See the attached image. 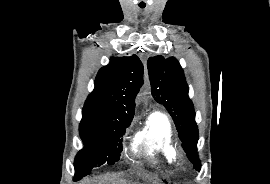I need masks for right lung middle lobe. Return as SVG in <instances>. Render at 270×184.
I'll list each match as a JSON object with an SVG mask.
<instances>
[{
	"mask_svg": "<svg viewBox=\"0 0 270 184\" xmlns=\"http://www.w3.org/2000/svg\"><path fill=\"white\" fill-rule=\"evenodd\" d=\"M130 123L96 118L87 109H83L79 132L84 147L75 158V180L106 161L112 165L119 160L122 137Z\"/></svg>",
	"mask_w": 270,
	"mask_h": 184,
	"instance_id": "right-lung-middle-lobe-1",
	"label": "right lung middle lobe"
}]
</instances>
